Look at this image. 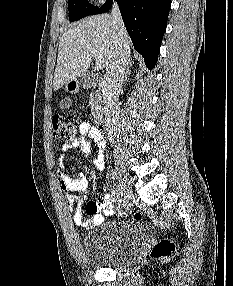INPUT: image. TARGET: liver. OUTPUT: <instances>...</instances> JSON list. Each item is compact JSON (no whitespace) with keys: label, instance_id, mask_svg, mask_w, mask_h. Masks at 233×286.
Masks as SVG:
<instances>
[{"label":"liver","instance_id":"1","mask_svg":"<svg viewBox=\"0 0 233 286\" xmlns=\"http://www.w3.org/2000/svg\"><path fill=\"white\" fill-rule=\"evenodd\" d=\"M123 37L130 53L131 41L126 30ZM116 38L113 17L109 14L87 17L68 29L59 41L54 91L85 75L95 54L104 59L108 70L115 57Z\"/></svg>","mask_w":233,"mask_h":286}]
</instances>
